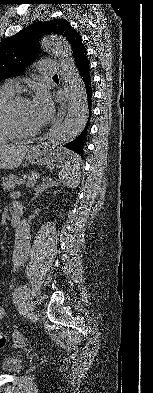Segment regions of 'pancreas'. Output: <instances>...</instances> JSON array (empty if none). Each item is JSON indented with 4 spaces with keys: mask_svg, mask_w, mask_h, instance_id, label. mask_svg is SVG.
<instances>
[{
    "mask_svg": "<svg viewBox=\"0 0 153 393\" xmlns=\"http://www.w3.org/2000/svg\"><path fill=\"white\" fill-rule=\"evenodd\" d=\"M15 182L16 180L14 177H9L2 180L1 186L4 190H8L15 184Z\"/></svg>",
    "mask_w": 153,
    "mask_h": 393,
    "instance_id": "obj_1",
    "label": "pancreas"
}]
</instances>
